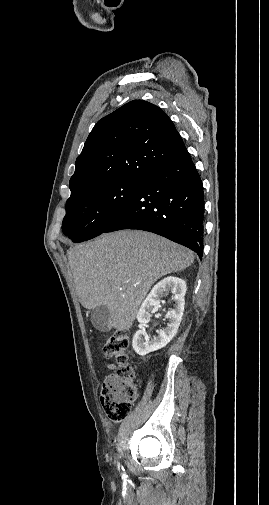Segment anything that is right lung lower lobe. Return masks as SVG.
<instances>
[{
	"instance_id": "obj_1",
	"label": "right lung lower lobe",
	"mask_w": 269,
	"mask_h": 505,
	"mask_svg": "<svg viewBox=\"0 0 269 505\" xmlns=\"http://www.w3.org/2000/svg\"><path fill=\"white\" fill-rule=\"evenodd\" d=\"M121 229L156 233L202 257L203 184L187 150L151 171L103 233Z\"/></svg>"
}]
</instances>
